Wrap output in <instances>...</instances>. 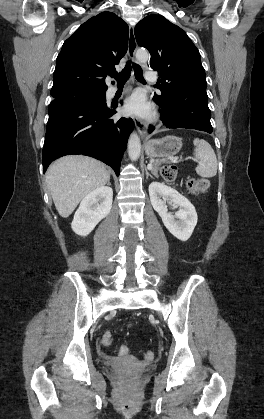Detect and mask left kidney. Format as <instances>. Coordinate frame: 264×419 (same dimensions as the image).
<instances>
[{
  "label": "left kidney",
  "mask_w": 264,
  "mask_h": 419,
  "mask_svg": "<svg viewBox=\"0 0 264 419\" xmlns=\"http://www.w3.org/2000/svg\"><path fill=\"white\" fill-rule=\"evenodd\" d=\"M149 196L154 210L161 217L168 231L181 241H187L197 224V213L191 202L177 190L160 182L149 185ZM167 204L179 206L173 215L168 212ZM178 219V220H176Z\"/></svg>",
  "instance_id": "5707ae66"
}]
</instances>
